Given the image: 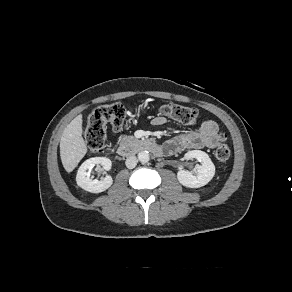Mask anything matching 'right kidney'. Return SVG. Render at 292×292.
Returning a JSON list of instances; mask_svg holds the SVG:
<instances>
[{"label": "right kidney", "mask_w": 292, "mask_h": 292, "mask_svg": "<svg viewBox=\"0 0 292 292\" xmlns=\"http://www.w3.org/2000/svg\"><path fill=\"white\" fill-rule=\"evenodd\" d=\"M98 164L106 171H109L112 166L111 160L106 157H94L86 160L82 163L77 172L76 182L79 187L91 193H101L112 185L113 179L108 175L101 180H93L90 178L92 168Z\"/></svg>", "instance_id": "obj_1"}]
</instances>
